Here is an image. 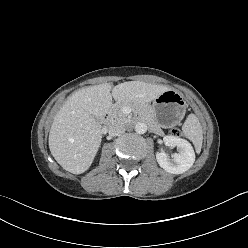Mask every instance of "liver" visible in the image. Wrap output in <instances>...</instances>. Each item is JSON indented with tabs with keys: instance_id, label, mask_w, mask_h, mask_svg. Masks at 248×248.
<instances>
[{
	"instance_id": "liver-1",
	"label": "liver",
	"mask_w": 248,
	"mask_h": 248,
	"mask_svg": "<svg viewBox=\"0 0 248 248\" xmlns=\"http://www.w3.org/2000/svg\"><path fill=\"white\" fill-rule=\"evenodd\" d=\"M112 90V93H111ZM168 88L142 81L90 86L74 92L54 117L49 133V149L66 171L81 174L91 166L102 141L95 117L112 106V98L123 104L151 102Z\"/></svg>"
}]
</instances>
